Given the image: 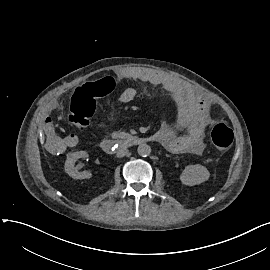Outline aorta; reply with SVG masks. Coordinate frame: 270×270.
Returning a JSON list of instances; mask_svg holds the SVG:
<instances>
[{"instance_id": "1", "label": "aorta", "mask_w": 270, "mask_h": 270, "mask_svg": "<svg viewBox=\"0 0 270 270\" xmlns=\"http://www.w3.org/2000/svg\"><path fill=\"white\" fill-rule=\"evenodd\" d=\"M137 152L140 156L146 157L151 153V147L145 143L138 146Z\"/></svg>"}]
</instances>
